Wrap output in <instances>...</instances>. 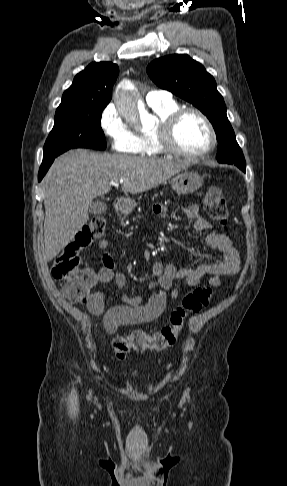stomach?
Masks as SVG:
<instances>
[{"instance_id":"0dacf381","label":"stomach","mask_w":287,"mask_h":486,"mask_svg":"<svg viewBox=\"0 0 287 486\" xmlns=\"http://www.w3.org/2000/svg\"><path fill=\"white\" fill-rule=\"evenodd\" d=\"M203 184V179L199 176L197 172H182L171 180L172 188L178 194H190L197 191ZM136 202L133 199L127 198L122 201L120 210L124 214H129L134 207Z\"/></svg>"}]
</instances>
